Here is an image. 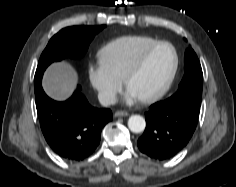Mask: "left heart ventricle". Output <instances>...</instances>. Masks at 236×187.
I'll return each mask as SVG.
<instances>
[{
    "mask_svg": "<svg viewBox=\"0 0 236 187\" xmlns=\"http://www.w3.org/2000/svg\"><path fill=\"white\" fill-rule=\"evenodd\" d=\"M174 62L171 48L161 46L147 58L140 72L130 81L128 89L137 98L148 96L158 91L167 80Z\"/></svg>",
    "mask_w": 236,
    "mask_h": 187,
    "instance_id": "left-heart-ventricle-1",
    "label": "left heart ventricle"
}]
</instances>
